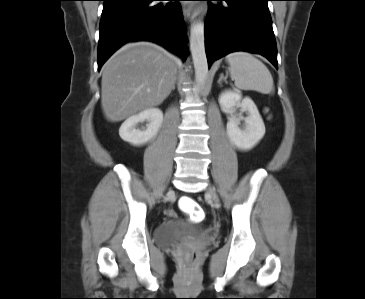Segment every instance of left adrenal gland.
<instances>
[{
    "label": "left adrenal gland",
    "mask_w": 365,
    "mask_h": 299,
    "mask_svg": "<svg viewBox=\"0 0 365 299\" xmlns=\"http://www.w3.org/2000/svg\"><path fill=\"white\" fill-rule=\"evenodd\" d=\"M222 81H224V82H226V83H227L226 78L224 77L223 73H221V74H220V77H219V79H218L217 83H218L219 85H221V84H222Z\"/></svg>",
    "instance_id": "a2214340"
}]
</instances>
